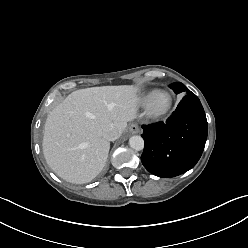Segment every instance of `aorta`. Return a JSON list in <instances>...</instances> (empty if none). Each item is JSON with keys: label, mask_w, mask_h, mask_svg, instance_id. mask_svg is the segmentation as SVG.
I'll list each match as a JSON object with an SVG mask.
<instances>
[{"label": "aorta", "mask_w": 248, "mask_h": 248, "mask_svg": "<svg viewBox=\"0 0 248 248\" xmlns=\"http://www.w3.org/2000/svg\"><path fill=\"white\" fill-rule=\"evenodd\" d=\"M129 145L136 151H141L144 148V140L141 136L135 135L130 137Z\"/></svg>", "instance_id": "1"}]
</instances>
